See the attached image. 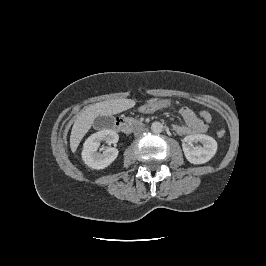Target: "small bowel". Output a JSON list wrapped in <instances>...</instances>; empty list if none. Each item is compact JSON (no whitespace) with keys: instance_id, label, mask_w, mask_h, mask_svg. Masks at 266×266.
<instances>
[{"instance_id":"obj_1","label":"small bowel","mask_w":266,"mask_h":266,"mask_svg":"<svg viewBox=\"0 0 266 266\" xmlns=\"http://www.w3.org/2000/svg\"><path fill=\"white\" fill-rule=\"evenodd\" d=\"M179 114L185 121V125H175L174 130L179 135H192L207 131V125L188 106L179 109Z\"/></svg>"}]
</instances>
